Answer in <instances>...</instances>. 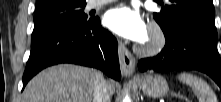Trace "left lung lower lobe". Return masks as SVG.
<instances>
[{
	"mask_svg": "<svg viewBox=\"0 0 221 102\" xmlns=\"http://www.w3.org/2000/svg\"><path fill=\"white\" fill-rule=\"evenodd\" d=\"M165 38V47L156 57L139 61L140 71L199 70L221 87V60L215 44L217 37L200 28L185 25Z\"/></svg>",
	"mask_w": 221,
	"mask_h": 102,
	"instance_id": "0a47b994",
	"label": "left lung lower lobe"
}]
</instances>
